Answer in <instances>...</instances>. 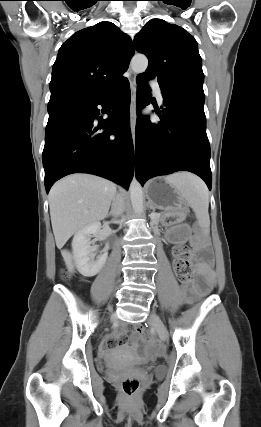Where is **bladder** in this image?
Segmentation results:
<instances>
[{
	"instance_id": "bladder-1",
	"label": "bladder",
	"mask_w": 261,
	"mask_h": 427,
	"mask_svg": "<svg viewBox=\"0 0 261 427\" xmlns=\"http://www.w3.org/2000/svg\"><path fill=\"white\" fill-rule=\"evenodd\" d=\"M155 372H156V374H161L162 373V369H160V368H157V369H155Z\"/></svg>"
}]
</instances>
